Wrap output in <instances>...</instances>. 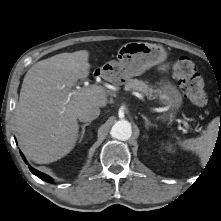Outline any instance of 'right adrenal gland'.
<instances>
[{"label":"right adrenal gland","instance_id":"2a0ac1e0","mask_svg":"<svg viewBox=\"0 0 221 221\" xmlns=\"http://www.w3.org/2000/svg\"><path fill=\"white\" fill-rule=\"evenodd\" d=\"M91 124V122L85 123L84 125H82V131L80 133V138H79V143H81L82 139L85 136V128L86 126H89Z\"/></svg>","mask_w":221,"mask_h":221}]
</instances>
